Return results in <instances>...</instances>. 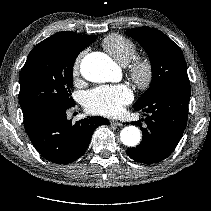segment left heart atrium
<instances>
[{"label": "left heart atrium", "mask_w": 211, "mask_h": 211, "mask_svg": "<svg viewBox=\"0 0 211 211\" xmlns=\"http://www.w3.org/2000/svg\"><path fill=\"white\" fill-rule=\"evenodd\" d=\"M132 98V92L125 85L101 86L87 93L85 107L94 114L114 116L130 103Z\"/></svg>", "instance_id": "obj_1"}]
</instances>
